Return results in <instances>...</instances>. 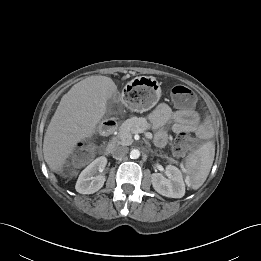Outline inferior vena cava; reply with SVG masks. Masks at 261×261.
Returning a JSON list of instances; mask_svg holds the SVG:
<instances>
[{"label":"inferior vena cava","instance_id":"inferior-vena-cava-1","mask_svg":"<svg viewBox=\"0 0 261 261\" xmlns=\"http://www.w3.org/2000/svg\"><path fill=\"white\" fill-rule=\"evenodd\" d=\"M128 153V148L125 146H115L112 149V156L115 159L123 158Z\"/></svg>","mask_w":261,"mask_h":261}]
</instances>
